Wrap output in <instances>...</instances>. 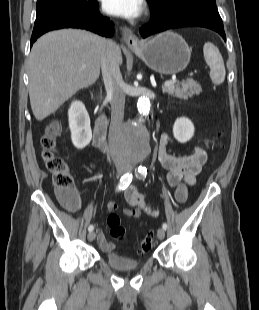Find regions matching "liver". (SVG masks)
<instances>
[{
  "label": "liver",
  "instance_id": "obj_1",
  "mask_svg": "<svg viewBox=\"0 0 259 310\" xmlns=\"http://www.w3.org/2000/svg\"><path fill=\"white\" fill-rule=\"evenodd\" d=\"M106 39L78 29L49 32L33 45L29 63V97L38 121L56 112L80 89L95 83L100 75ZM115 57L122 64L117 46Z\"/></svg>",
  "mask_w": 259,
  "mask_h": 310
}]
</instances>
